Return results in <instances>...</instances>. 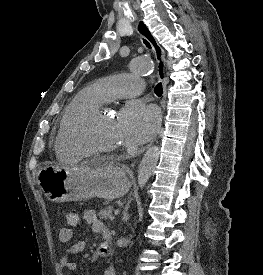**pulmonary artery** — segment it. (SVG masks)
<instances>
[{
    "label": "pulmonary artery",
    "instance_id": "1",
    "mask_svg": "<svg viewBox=\"0 0 263 275\" xmlns=\"http://www.w3.org/2000/svg\"><path fill=\"white\" fill-rule=\"evenodd\" d=\"M98 86L106 101L116 98L136 97L143 93V81L133 74H117L105 77Z\"/></svg>",
    "mask_w": 263,
    "mask_h": 275
}]
</instances>
